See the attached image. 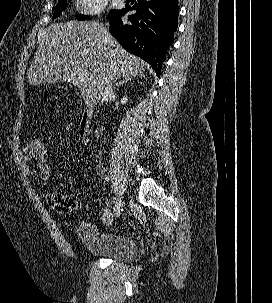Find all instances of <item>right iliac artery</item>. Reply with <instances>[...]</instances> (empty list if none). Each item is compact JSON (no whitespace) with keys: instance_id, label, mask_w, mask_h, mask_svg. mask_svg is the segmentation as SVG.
I'll return each instance as SVG.
<instances>
[{"instance_id":"obj_1","label":"right iliac artery","mask_w":272,"mask_h":303,"mask_svg":"<svg viewBox=\"0 0 272 303\" xmlns=\"http://www.w3.org/2000/svg\"><path fill=\"white\" fill-rule=\"evenodd\" d=\"M113 202H114V205H115V206L112 207V210H113V211H116V210H117V207H116V206H117V199L114 198V201H113Z\"/></svg>"}]
</instances>
